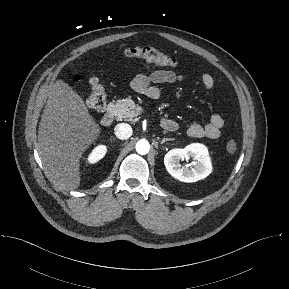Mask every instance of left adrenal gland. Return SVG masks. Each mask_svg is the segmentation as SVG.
I'll list each match as a JSON object with an SVG mask.
<instances>
[{
  "mask_svg": "<svg viewBox=\"0 0 289 289\" xmlns=\"http://www.w3.org/2000/svg\"><path fill=\"white\" fill-rule=\"evenodd\" d=\"M172 139L171 138H164L162 141H161V144H164L166 141H171Z\"/></svg>",
  "mask_w": 289,
  "mask_h": 289,
  "instance_id": "a2214340",
  "label": "left adrenal gland"
}]
</instances>
